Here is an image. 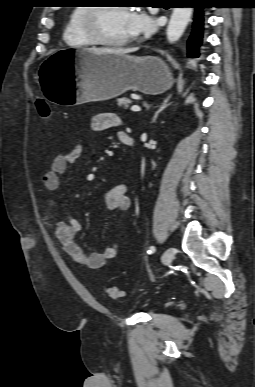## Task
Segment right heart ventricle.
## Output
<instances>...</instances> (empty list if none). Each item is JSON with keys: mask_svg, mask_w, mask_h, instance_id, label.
Returning <instances> with one entry per match:
<instances>
[{"mask_svg": "<svg viewBox=\"0 0 255 387\" xmlns=\"http://www.w3.org/2000/svg\"><path fill=\"white\" fill-rule=\"evenodd\" d=\"M85 9L84 6H77L69 14L63 31V40L68 46L84 48L94 44L82 28V17Z\"/></svg>", "mask_w": 255, "mask_h": 387, "instance_id": "1", "label": "right heart ventricle"}]
</instances>
